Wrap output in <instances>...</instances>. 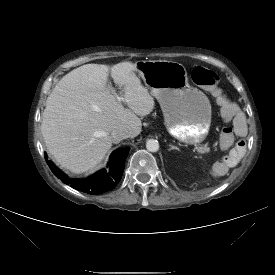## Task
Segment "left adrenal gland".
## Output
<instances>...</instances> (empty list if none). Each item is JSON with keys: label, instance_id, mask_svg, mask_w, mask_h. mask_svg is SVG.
Wrapping results in <instances>:
<instances>
[{"label": "left adrenal gland", "instance_id": "left-adrenal-gland-1", "mask_svg": "<svg viewBox=\"0 0 275 275\" xmlns=\"http://www.w3.org/2000/svg\"><path fill=\"white\" fill-rule=\"evenodd\" d=\"M179 150V148L178 147H176V146H173V145H170V150Z\"/></svg>", "mask_w": 275, "mask_h": 275}]
</instances>
